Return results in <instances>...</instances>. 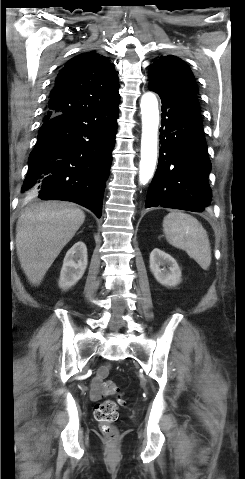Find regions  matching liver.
Wrapping results in <instances>:
<instances>
[{"mask_svg":"<svg viewBox=\"0 0 245 479\" xmlns=\"http://www.w3.org/2000/svg\"><path fill=\"white\" fill-rule=\"evenodd\" d=\"M84 220V212L67 202H42L21 213L16 225V251L30 283L40 285Z\"/></svg>","mask_w":245,"mask_h":479,"instance_id":"6515ba94","label":"liver"}]
</instances>
